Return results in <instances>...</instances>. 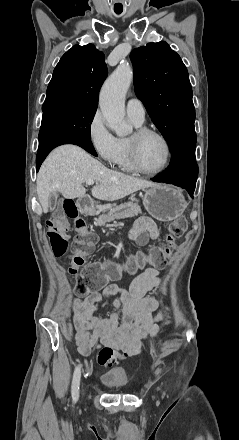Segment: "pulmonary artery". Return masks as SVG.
<instances>
[{
    "label": "pulmonary artery",
    "instance_id": "obj_1",
    "mask_svg": "<svg viewBox=\"0 0 239 440\" xmlns=\"http://www.w3.org/2000/svg\"><path fill=\"white\" fill-rule=\"evenodd\" d=\"M126 112L129 119L137 125L142 124L145 120V109L138 98L133 97L128 100Z\"/></svg>",
    "mask_w": 239,
    "mask_h": 440
}]
</instances>
